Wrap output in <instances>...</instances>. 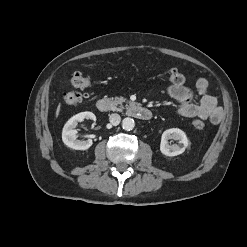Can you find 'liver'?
I'll use <instances>...</instances> for the list:
<instances>
[{"instance_id": "liver-1", "label": "liver", "mask_w": 247, "mask_h": 247, "mask_svg": "<svg viewBox=\"0 0 247 247\" xmlns=\"http://www.w3.org/2000/svg\"><path fill=\"white\" fill-rule=\"evenodd\" d=\"M59 113H60V105L58 106V108L56 110V117H58Z\"/></svg>"}]
</instances>
